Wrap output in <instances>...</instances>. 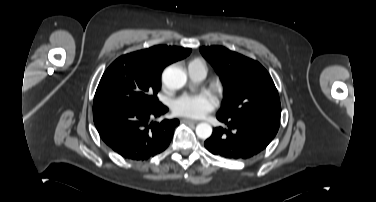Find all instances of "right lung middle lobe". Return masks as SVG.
Wrapping results in <instances>:
<instances>
[{
    "instance_id": "right-lung-middle-lobe-1",
    "label": "right lung middle lobe",
    "mask_w": 376,
    "mask_h": 202,
    "mask_svg": "<svg viewBox=\"0 0 376 202\" xmlns=\"http://www.w3.org/2000/svg\"><path fill=\"white\" fill-rule=\"evenodd\" d=\"M161 78L127 54L116 59L103 74L94 97L93 110L115 104L151 107L160 103Z\"/></svg>"
}]
</instances>
